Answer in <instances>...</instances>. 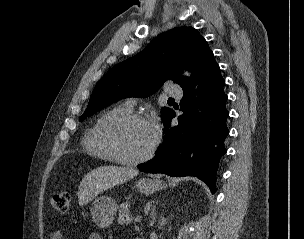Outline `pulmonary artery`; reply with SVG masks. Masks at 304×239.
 Masks as SVG:
<instances>
[{
    "label": "pulmonary artery",
    "mask_w": 304,
    "mask_h": 239,
    "mask_svg": "<svg viewBox=\"0 0 304 239\" xmlns=\"http://www.w3.org/2000/svg\"><path fill=\"white\" fill-rule=\"evenodd\" d=\"M167 93L169 96L175 97V98H180L183 95V91L181 88L175 86V85H170L167 89ZM127 105L132 107L135 105V100L133 98H130L127 100Z\"/></svg>",
    "instance_id": "obj_1"
}]
</instances>
